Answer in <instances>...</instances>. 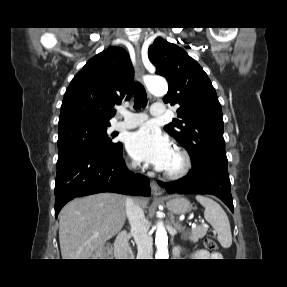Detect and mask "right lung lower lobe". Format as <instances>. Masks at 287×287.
I'll list each match as a JSON object with an SVG mask.
<instances>
[{
    "label": "right lung lower lobe",
    "mask_w": 287,
    "mask_h": 287,
    "mask_svg": "<svg viewBox=\"0 0 287 287\" xmlns=\"http://www.w3.org/2000/svg\"><path fill=\"white\" fill-rule=\"evenodd\" d=\"M100 192L150 196L149 179L130 173L121 151L113 157L88 153H71L58 157L55 183V216L70 200Z\"/></svg>",
    "instance_id": "obj_1"
}]
</instances>
